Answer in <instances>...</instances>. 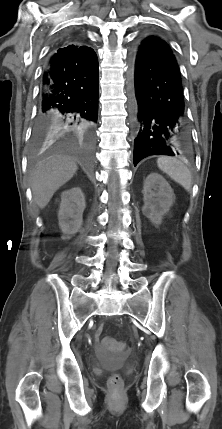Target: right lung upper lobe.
I'll use <instances>...</instances> for the list:
<instances>
[{
	"label": "right lung upper lobe",
	"instance_id": "cb5924a9",
	"mask_svg": "<svg viewBox=\"0 0 222 429\" xmlns=\"http://www.w3.org/2000/svg\"><path fill=\"white\" fill-rule=\"evenodd\" d=\"M60 48L66 47L69 50L76 52V54L89 56L93 49L87 46H81L80 44L72 43V41H63L59 44Z\"/></svg>",
	"mask_w": 222,
	"mask_h": 429
}]
</instances>
